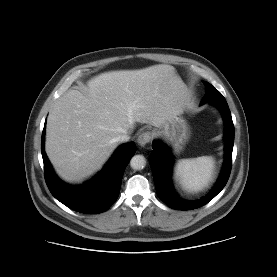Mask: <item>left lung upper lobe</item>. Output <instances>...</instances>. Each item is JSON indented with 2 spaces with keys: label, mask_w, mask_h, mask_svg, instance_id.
I'll list each match as a JSON object with an SVG mask.
<instances>
[{
  "label": "left lung upper lobe",
  "mask_w": 277,
  "mask_h": 277,
  "mask_svg": "<svg viewBox=\"0 0 277 277\" xmlns=\"http://www.w3.org/2000/svg\"><path fill=\"white\" fill-rule=\"evenodd\" d=\"M203 83L205 85L206 94L202 98L201 104L208 103V102L214 103L220 100H225L223 95L216 88H214L210 83L208 82H203Z\"/></svg>",
  "instance_id": "left-lung-upper-lobe-1"
}]
</instances>
